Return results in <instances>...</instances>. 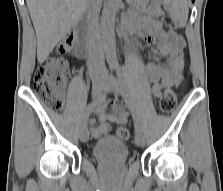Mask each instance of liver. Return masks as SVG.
Listing matches in <instances>:
<instances>
[{"label": "liver", "mask_w": 223, "mask_h": 191, "mask_svg": "<svg viewBox=\"0 0 223 191\" xmlns=\"http://www.w3.org/2000/svg\"><path fill=\"white\" fill-rule=\"evenodd\" d=\"M43 63L86 10V0H26Z\"/></svg>", "instance_id": "obj_1"}]
</instances>
